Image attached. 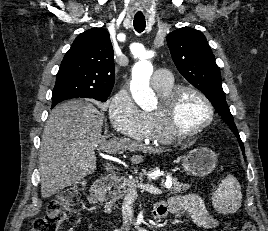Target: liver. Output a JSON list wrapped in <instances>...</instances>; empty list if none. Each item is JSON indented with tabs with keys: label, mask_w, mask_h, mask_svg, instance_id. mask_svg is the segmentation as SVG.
Listing matches in <instances>:
<instances>
[{
	"label": "liver",
	"mask_w": 268,
	"mask_h": 231,
	"mask_svg": "<svg viewBox=\"0 0 268 231\" xmlns=\"http://www.w3.org/2000/svg\"><path fill=\"white\" fill-rule=\"evenodd\" d=\"M104 114L90 102L70 100L49 115L39 151L41 194L48 198L76 184L96 170L95 149L106 153L154 152L155 149L127 138L106 140L102 135ZM131 162L139 164L136 154Z\"/></svg>",
	"instance_id": "1"
}]
</instances>
